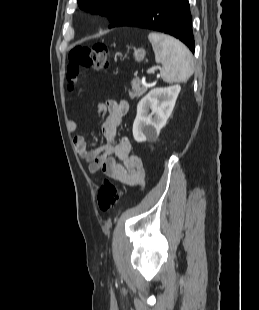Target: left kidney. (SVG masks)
<instances>
[{
    "instance_id": "obj_1",
    "label": "left kidney",
    "mask_w": 259,
    "mask_h": 310,
    "mask_svg": "<svg viewBox=\"0 0 259 310\" xmlns=\"http://www.w3.org/2000/svg\"><path fill=\"white\" fill-rule=\"evenodd\" d=\"M180 90V85L157 87L141 99L133 123L135 141L145 142L159 136L174 109ZM149 109L151 114H148Z\"/></svg>"
}]
</instances>
